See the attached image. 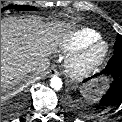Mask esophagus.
I'll return each mask as SVG.
<instances>
[{
	"label": "esophagus",
	"instance_id": "1",
	"mask_svg": "<svg viewBox=\"0 0 122 122\" xmlns=\"http://www.w3.org/2000/svg\"><path fill=\"white\" fill-rule=\"evenodd\" d=\"M48 74L50 76L57 75L58 74V70L56 68L52 67L51 69H49Z\"/></svg>",
	"mask_w": 122,
	"mask_h": 122
}]
</instances>
